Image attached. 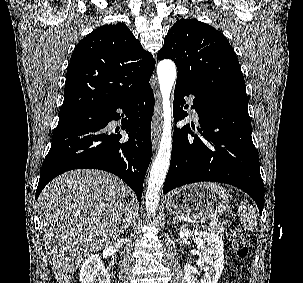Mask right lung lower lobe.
Returning a JSON list of instances; mask_svg holds the SVG:
<instances>
[{
    "label": "right lung lower lobe",
    "instance_id": "1",
    "mask_svg": "<svg viewBox=\"0 0 303 283\" xmlns=\"http://www.w3.org/2000/svg\"><path fill=\"white\" fill-rule=\"evenodd\" d=\"M123 110V114L117 112ZM154 94L149 83L134 94L84 114L59 119L51 148L43 161L36 199L53 178L72 169H101L120 177L141 198L151 161ZM122 119L129 139L109 128Z\"/></svg>",
    "mask_w": 303,
    "mask_h": 283
}]
</instances>
